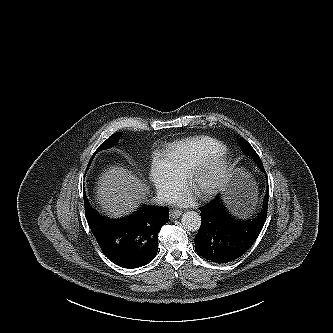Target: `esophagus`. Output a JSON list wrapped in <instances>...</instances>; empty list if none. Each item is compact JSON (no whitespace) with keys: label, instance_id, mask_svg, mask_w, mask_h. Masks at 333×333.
<instances>
[{"label":"esophagus","instance_id":"esophagus-1","mask_svg":"<svg viewBox=\"0 0 333 333\" xmlns=\"http://www.w3.org/2000/svg\"><path fill=\"white\" fill-rule=\"evenodd\" d=\"M181 214H182V211H179V210H172V211L170 212V217H171L172 219H176V218H178Z\"/></svg>","mask_w":333,"mask_h":333}]
</instances>
